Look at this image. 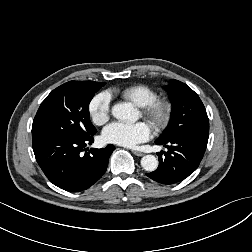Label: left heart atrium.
<instances>
[{
	"label": "left heart atrium",
	"instance_id": "39dd6f15",
	"mask_svg": "<svg viewBox=\"0 0 252 252\" xmlns=\"http://www.w3.org/2000/svg\"><path fill=\"white\" fill-rule=\"evenodd\" d=\"M152 134L150 125L146 122L122 123L115 122L103 131V139L107 143L125 147H134L147 141Z\"/></svg>",
	"mask_w": 252,
	"mask_h": 252
}]
</instances>
